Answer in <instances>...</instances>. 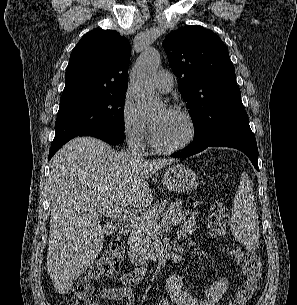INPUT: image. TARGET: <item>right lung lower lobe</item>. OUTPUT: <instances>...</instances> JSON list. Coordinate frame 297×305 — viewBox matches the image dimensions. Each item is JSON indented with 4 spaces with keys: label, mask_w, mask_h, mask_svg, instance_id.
Wrapping results in <instances>:
<instances>
[{
    "label": "right lung lower lobe",
    "mask_w": 297,
    "mask_h": 305,
    "mask_svg": "<svg viewBox=\"0 0 297 305\" xmlns=\"http://www.w3.org/2000/svg\"><path fill=\"white\" fill-rule=\"evenodd\" d=\"M80 136H92V137H96L99 138L109 144L112 145H116V144H120L121 142H123L125 135L123 132L118 133V132H107V131H94V132H88L85 134H82ZM62 147L58 146L55 148L50 149L49 151V157L48 159L50 160L52 158V156Z\"/></svg>",
    "instance_id": "1"
}]
</instances>
